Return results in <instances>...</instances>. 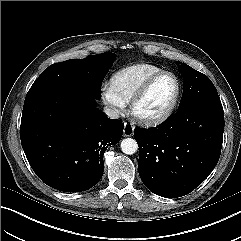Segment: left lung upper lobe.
I'll list each match as a JSON object with an SVG mask.
<instances>
[{"label":"left lung upper lobe","instance_id":"left-lung-upper-lobe-1","mask_svg":"<svg viewBox=\"0 0 241 241\" xmlns=\"http://www.w3.org/2000/svg\"><path fill=\"white\" fill-rule=\"evenodd\" d=\"M178 67L184 79L179 108L195 102L221 103L215 86L206 75L188 65Z\"/></svg>","mask_w":241,"mask_h":241}]
</instances>
